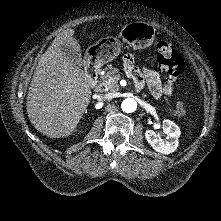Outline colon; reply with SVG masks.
<instances>
[{
  "label": "colon",
  "mask_w": 221,
  "mask_h": 221,
  "mask_svg": "<svg viewBox=\"0 0 221 221\" xmlns=\"http://www.w3.org/2000/svg\"><path fill=\"white\" fill-rule=\"evenodd\" d=\"M155 60L160 67L167 72L171 79L175 81L181 77L185 71V63L179 53L166 41H159L155 45ZM175 115L179 119H185L187 109L184 102L177 103Z\"/></svg>",
  "instance_id": "5ec220e1"
}]
</instances>
